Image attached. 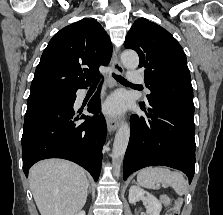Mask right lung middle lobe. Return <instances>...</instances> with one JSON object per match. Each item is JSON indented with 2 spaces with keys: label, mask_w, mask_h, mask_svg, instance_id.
I'll return each mask as SVG.
<instances>
[{
  "label": "right lung middle lobe",
  "mask_w": 223,
  "mask_h": 215,
  "mask_svg": "<svg viewBox=\"0 0 223 215\" xmlns=\"http://www.w3.org/2000/svg\"><path fill=\"white\" fill-rule=\"evenodd\" d=\"M75 92H43L30 94L28 98L27 111L38 108L68 102L75 98Z\"/></svg>",
  "instance_id": "obj_1"
}]
</instances>
